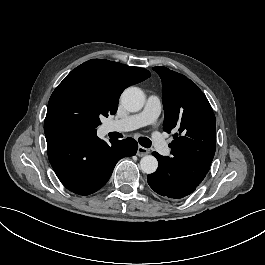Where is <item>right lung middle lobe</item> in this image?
I'll list each match as a JSON object with an SVG mask.
<instances>
[{
    "label": "right lung middle lobe",
    "mask_w": 265,
    "mask_h": 265,
    "mask_svg": "<svg viewBox=\"0 0 265 265\" xmlns=\"http://www.w3.org/2000/svg\"><path fill=\"white\" fill-rule=\"evenodd\" d=\"M113 99L101 77L94 71L73 70L52 93L45 124H62L96 132L100 117L115 114Z\"/></svg>",
    "instance_id": "obj_1"
}]
</instances>
